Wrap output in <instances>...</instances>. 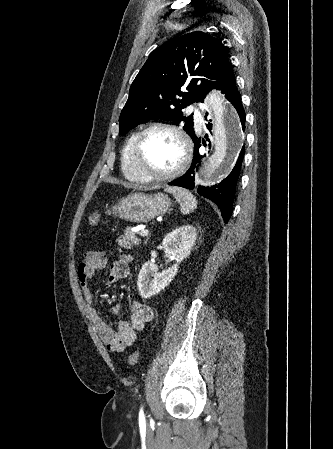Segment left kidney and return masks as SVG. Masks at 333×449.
<instances>
[{
    "instance_id": "5707ae66",
    "label": "left kidney",
    "mask_w": 333,
    "mask_h": 449,
    "mask_svg": "<svg viewBox=\"0 0 333 449\" xmlns=\"http://www.w3.org/2000/svg\"><path fill=\"white\" fill-rule=\"evenodd\" d=\"M197 233L192 225L182 226L167 234L162 245L165 253L177 262L162 272L153 262H146L138 275L137 286L143 298H149L167 287L178 271V264L186 258L195 245Z\"/></svg>"
}]
</instances>
